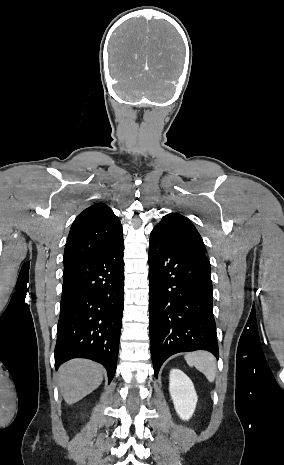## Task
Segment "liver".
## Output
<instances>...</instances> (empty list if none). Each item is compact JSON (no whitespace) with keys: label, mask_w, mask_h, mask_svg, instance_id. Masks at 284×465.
<instances>
[{"label":"liver","mask_w":284,"mask_h":465,"mask_svg":"<svg viewBox=\"0 0 284 465\" xmlns=\"http://www.w3.org/2000/svg\"><path fill=\"white\" fill-rule=\"evenodd\" d=\"M104 369L87 359H74L59 369V387L67 405L81 401L103 381Z\"/></svg>","instance_id":"obj_1"}]
</instances>
